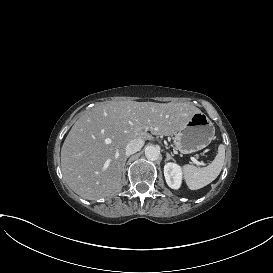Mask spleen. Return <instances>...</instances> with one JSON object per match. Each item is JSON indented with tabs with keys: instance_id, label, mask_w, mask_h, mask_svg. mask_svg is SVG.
<instances>
[{
	"instance_id": "3e777b00",
	"label": "spleen",
	"mask_w": 273,
	"mask_h": 273,
	"mask_svg": "<svg viewBox=\"0 0 273 273\" xmlns=\"http://www.w3.org/2000/svg\"><path fill=\"white\" fill-rule=\"evenodd\" d=\"M225 160V146L220 144L215 159L206 167L197 168L193 165L183 167L184 177L191 190H197L210 184L220 174Z\"/></svg>"
}]
</instances>
